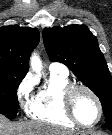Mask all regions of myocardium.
<instances>
[{"label":"myocardium","mask_w":112,"mask_h":135,"mask_svg":"<svg viewBox=\"0 0 112 135\" xmlns=\"http://www.w3.org/2000/svg\"><path fill=\"white\" fill-rule=\"evenodd\" d=\"M80 90L87 92L94 99V101L96 102L97 108H98L97 119L89 125L83 124L77 118L75 111H74V105H73L74 96ZM62 102H63V106H64V109H65L68 117L77 126H79L81 128H92V127L96 126L100 122V120L102 119V116H103L102 102H101L99 96L90 87H88L86 85H82V84L74 85L73 84L70 87L66 88L62 94Z\"/></svg>","instance_id":"1"}]
</instances>
